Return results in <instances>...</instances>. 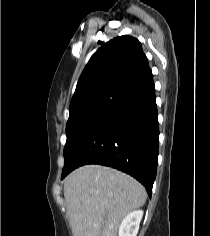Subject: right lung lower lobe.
Masks as SVG:
<instances>
[{
  "instance_id": "98d812e1",
  "label": "right lung lower lobe",
  "mask_w": 210,
  "mask_h": 236,
  "mask_svg": "<svg viewBox=\"0 0 210 236\" xmlns=\"http://www.w3.org/2000/svg\"><path fill=\"white\" fill-rule=\"evenodd\" d=\"M159 125L152 76L130 89L89 131L62 171V179L85 164L126 172L151 197L156 177Z\"/></svg>"
}]
</instances>
